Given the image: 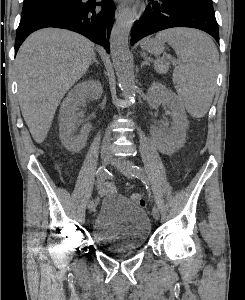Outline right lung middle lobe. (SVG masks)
I'll return each instance as SVG.
<instances>
[{
  "instance_id": "right-lung-middle-lobe-1",
  "label": "right lung middle lobe",
  "mask_w": 245,
  "mask_h": 300,
  "mask_svg": "<svg viewBox=\"0 0 245 300\" xmlns=\"http://www.w3.org/2000/svg\"><path fill=\"white\" fill-rule=\"evenodd\" d=\"M83 0H33L25 1L21 19L47 12L56 8L81 4Z\"/></svg>"
}]
</instances>
